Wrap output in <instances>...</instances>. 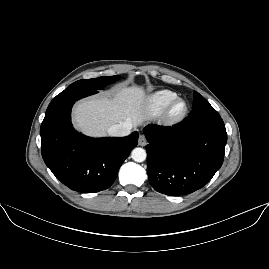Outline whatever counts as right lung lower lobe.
Segmentation results:
<instances>
[{"instance_id": "right-lung-lower-lobe-1", "label": "right lung lower lobe", "mask_w": 269, "mask_h": 269, "mask_svg": "<svg viewBox=\"0 0 269 269\" xmlns=\"http://www.w3.org/2000/svg\"><path fill=\"white\" fill-rule=\"evenodd\" d=\"M95 93L67 88L50 102L40 128L45 164L60 182L82 193L109 188L138 141V132L122 138H89L73 128V104Z\"/></svg>"}]
</instances>
